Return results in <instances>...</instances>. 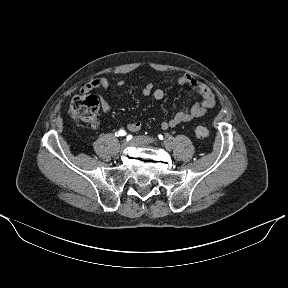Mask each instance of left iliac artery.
Segmentation results:
<instances>
[{
	"label": "left iliac artery",
	"instance_id": "44dca946",
	"mask_svg": "<svg viewBox=\"0 0 288 288\" xmlns=\"http://www.w3.org/2000/svg\"><path fill=\"white\" fill-rule=\"evenodd\" d=\"M159 139H161V140L163 139V136L161 134L159 135Z\"/></svg>",
	"mask_w": 288,
	"mask_h": 288
}]
</instances>
